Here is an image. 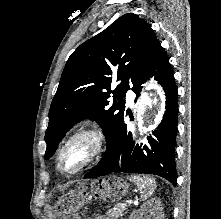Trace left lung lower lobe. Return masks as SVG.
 Returning <instances> with one entry per match:
<instances>
[{
    "mask_svg": "<svg viewBox=\"0 0 221 219\" xmlns=\"http://www.w3.org/2000/svg\"><path fill=\"white\" fill-rule=\"evenodd\" d=\"M154 76L161 84L166 95V106L163 120L147 137L148 143L134 146L130 132L124 124V117L107 143V150L100 162L84 178H95L112 173H144L161 176L176 184L175 145L177 134L178 101L177 87L171 65L164 49L159 46L154 58L134 91L137 97L141 85Z\"/></svg>",
    "mask_w": 221,
    "mask_h": 219,
    "instance_id": "left-lung-lower-lobe-1",
    "label": "left lung lower lobe"
}]
</instances>
